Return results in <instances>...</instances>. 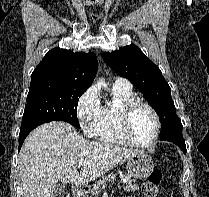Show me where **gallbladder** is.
Here are the masks:
<instances>
[{"instance_id":"bac80fb5","label":"gallbladder","mask_w":209,"mask_h":197,"mask_svg":"<svg viewBox=\"0 0 209 197\" xmlns=\"http://www.w3.org/2000/svg\"><path fill=\"white\" fill-rule=\"evenodd\" d=\"M65 189V185L64 184H58L56 187H55V190H54V197H56L58 194H61Z\"/></svg>"}]
</instances>
